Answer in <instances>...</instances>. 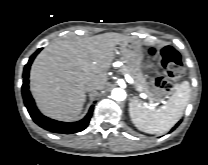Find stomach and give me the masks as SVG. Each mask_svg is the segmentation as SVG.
Returning <instances> with one entry per match:
<instances>
[{"label":"stomach","mask_w":208,"mask_h":165,"mask_svg":"<svg viewBox=\"0 0 208 165\" xmlns=\"http://www.w3.org/2000/svg\"><path fill=\"white\" fill-rule=\"evenodd\" d=\"M120 50L123 60L132 65L137 70V73H141L143 55L140 47L132 42H122L120 43Z\"/></svg>","instance_id":"stomach-1"}]
</instances>
